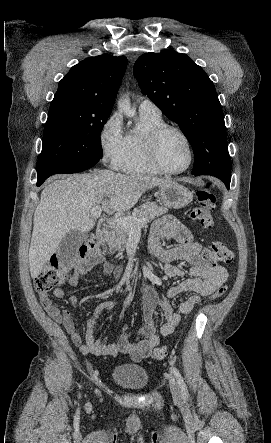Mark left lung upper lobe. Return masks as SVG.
Here are the masks:
<instances>
[{"label":"left lung upper lobe","mask_w":271,"mask_h":443,"mask_svg":"<svg viewBox=\"0 0 271 443\" xmlns=\"http://www.w3.org/2000/svg\"><path fill=\"white\" fill-rule=\"evenodd\" d=\"M133 71L143 94L179 124L189 140L195 154L193 174L215 176L229 188L231 160L224 116L205 71L171 49L143 54Z\"/></svg>","instance_id":"obj_1"}]
</instances>
